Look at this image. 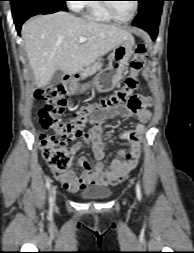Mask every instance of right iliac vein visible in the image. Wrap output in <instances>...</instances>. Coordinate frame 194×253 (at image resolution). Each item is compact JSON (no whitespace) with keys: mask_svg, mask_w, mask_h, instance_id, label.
Here are the masks:
<instances>
[{"mask_svg":"<svg viewBox=\"0 0 194 253\" xmlns=\"http://www.w3.org/2000/svg\"><path fill=\"white\" fill-rule=\"evenodd\" d=\"M51 193H52V200H53V205H54L55 200H56V189H55V187H52Z\"/></svg>","mask_w":194,"mask_h":253,"instance_id":"1","label":"right iliac vein"}]
</instances>
